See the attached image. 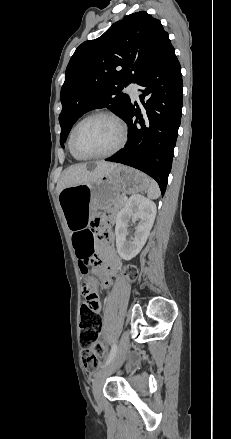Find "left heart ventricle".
I'll return each mask as SVG.
<instances>
[{
	"label": "left heart ventricle",
	"mask_w": 231,
	"mask_h": 439,
	"mask_svg": "<svg viewBox=\"0 0 231 439\" xmlns=\"http://www.w3.org/2000/svg\"><path fill=\"white\" fill-rule=\"evenodd\" d=\"M118 140L117 125L108 118L96 117L84 122L77 129L74 146L81 154H100L112 149Z\"/></svg>",
	"instance_id": "1"
}]
</instances>
